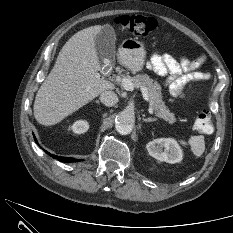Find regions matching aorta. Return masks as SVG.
I'll return each instance as SVG.
<instances>
[{
	"label": "aorta",
	"mask_w": 233,
	"mask_h": 233,
	"mask_svg": "<svg viewBox=\"0 0 233 233\" xmlns=\"http://www.w3.org/2000/svg\"><path fill=\"white\" fill-rule=\"evenodd\" d=\"M134 114L129 110L120 112L116 117V130L122 135L130 134L133 129Z\"/></svg>",
	"instance_id": "obj_1"
}]
</instances>
